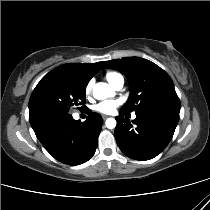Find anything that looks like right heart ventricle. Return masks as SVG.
I'll return each instance as SVG.
<instances>
[{"label": "right heart ventricle", "mask_w": 210, "mask_h": 210, "mask_svg": "<svg viewBox=\"0 0 210 210\" xmlns=\"http://www.w3.org/2000/svg\"><path fill=\"white\" fill-rule=\"evenodd\" d=\"M105 77H106V79H107V81L111 84V85H113L114 84V82L118 79V78H120V77H122L119 73H117V72H107L106 73V75H105Z\"/></svg>", "instance_id": "e07e8e85"}]
</instances>
